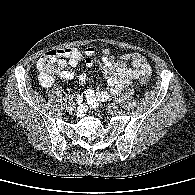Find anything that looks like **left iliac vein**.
<instances>
[{"instance_id":"obj_1","label":"left iliac vein","mask_w":195,"mask_h":195,"mask_svg":"<svg viewBox=\"0 0 195 195\" xmlns=\"http://www.w3.org/2000/svg\"><path fill=\"white\" fill-rule=\"evenodd\" d=\"M107 108H108V110H109L110 112H112V113L117 112L118 109H119L118 105L113 104V103H112V104H109V105L107 106Z\"/></svg>"}]
</instances>
